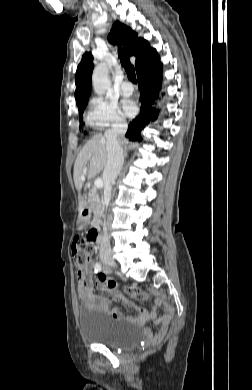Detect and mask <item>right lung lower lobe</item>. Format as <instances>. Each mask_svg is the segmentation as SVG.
Instances as JSON below:
<instances>
[{"label": "right lung lower lobe", "instance_id": "right-lung-lower-lobe-1", "mask_svg": "<svg viewBox=\"0 0 252 390\" xmlns=\"http://www.w3.org/2000/svg\"><path fill=\"white\" fill-rule=\"evenodd\" d=\"M161 66L162 64L145 69L138 75L141 110L140 114L130 122L126 133V137L132 141L141 140L144 127L157 119L158 110L153 108L152 104L162 79Z\"/></svg>", "mask_w": 252, "mask_h": 390}]
</instances>
